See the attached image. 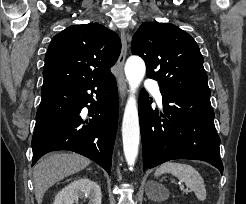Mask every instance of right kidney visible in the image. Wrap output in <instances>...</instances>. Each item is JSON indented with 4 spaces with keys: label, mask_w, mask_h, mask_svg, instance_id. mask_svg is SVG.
<instances>
[{
    "label": "right kidney",
    "mask_w": 246,
    "mask_h": 204,
    "mask_svg": "<svg viewBox=\"0 0 246 204\" xmlns=\"http://www.w3.org/2000/svg\"><path fill=\"white\" fill-rule=\"evenodd\" d=\"M79 199L88 204H101L100 186L88 178H79L64 187L55 197L53 204H78Z\"/></svg>",
    "instance_id": "ca27d5eb"
}]
</instances>
